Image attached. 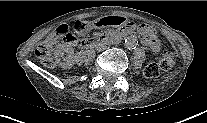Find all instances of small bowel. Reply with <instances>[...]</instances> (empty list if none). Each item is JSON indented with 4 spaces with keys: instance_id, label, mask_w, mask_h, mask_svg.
I'll list each match as a JSON object with an SVG mask.
<instances>
[{
    "instance_id": "obj_1",
    "label": "small bowel",
    "mask_w": 207,
    "mask_h": 123,
    "mask_svg": "<svg viewBox=\"0 0 207 123\" xmlns=\"http://www.w3.org/2000/svg\"><path fill=\"white\" fill-rule=\"evenodd\" d=\"M100 24L103 28L123 27L125 24L126 27L123 30H132L134 28V24L132 22L126 23L124 17H105L101 19ZM73 29L75 31H85L87 25L80 22H73ZM137 30L142 35L143 43L149 45L155 54L159 53L161 42L158 39L155 30L146 24L139 25Z\"/></svg>"
}]
</instances>
